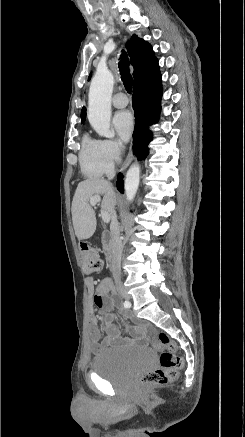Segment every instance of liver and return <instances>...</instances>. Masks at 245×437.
<instances>
[{
  "instance_id": "obj_1",
  "label": "liver",
  "mask_w": 245,
  "mask_h": 437,
  "mask_svg": "<svg viewBox=\"0 0 245 437\" xmlns=\"http://www.w3.org/2000/svg\"><path fill=\"white\" fill-rule=\"evenodd\" d=\"M103 196L101 208L113 218L117 194L112 184L102 179H87L80 182L72 201V222L78 240L88 239L96 230V215L90 204V198Z\"/></svg>"
}]
</instances>
